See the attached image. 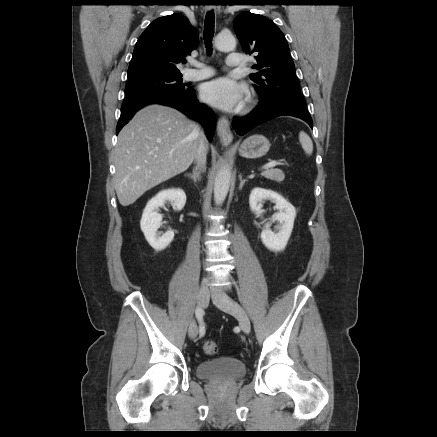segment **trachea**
I'll return each mask as SVG.
<instances>
[{"label":"trachea","instance_id":"obj_1","mask_svg":"<svg viewBox=\"0 0 437 437\" xmlns=\"http://www.w3.org/2000/svg\"><path fill=\"white\" fill-rule=\"evenodd\" d=\"M214 11L211 10L206 14L205 22H204V41L207 48L208 53L212 51V38L214 35Z\"/></svg>","mask_w":437,"mask_h":437}]
</instances>
